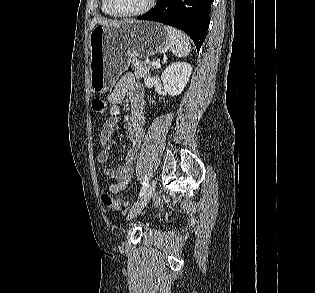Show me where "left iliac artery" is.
<instances>
[{
	"instance_id": "left-iliac-artery-1",
	"label": "left iliac artery",
	"mask_w": 315,
	"mask_h": 293,
	"mask_svg": "<svg viewBox=\"0 0 315 293\" xmlns=\"http://www.w3.org/2000/svg\"><path fill=\"white\" fill-rule=\"evenodd\" d=\"M148 185H149V178L148 176L146 175L144 180H143V184H142V189L140 191V194H139V198H141L143 196V194L145 193V191L147 190L148 188Z\"/></svg>"
}]
</instances>
